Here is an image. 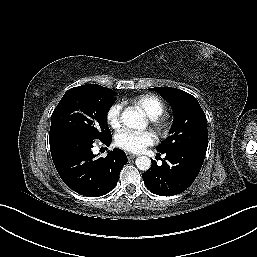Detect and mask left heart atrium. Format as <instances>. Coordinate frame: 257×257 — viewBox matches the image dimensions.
<instances>
[{
    "mask_svg": "<svg viewBox=\"0 0 257 257\" xmlns=\"http://www.w3.org/2000/svg\"><path fill=\"white\" fill-rule=\"evenodd\" d=\"M157 141L154 133L149 131L121 130L115 137L116 145L126 151L139 153Z\"/></svg>",
    "mask_w": 257,
    "mask_h": 257,
    "instance_id": "left-heart-atrium-1",
    "label": "left heart atrium"
}]
</instances>
